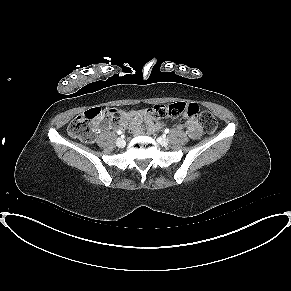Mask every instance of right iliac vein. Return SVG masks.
Listing matches in <instances>:
<instances>
[{"instance_id":"right-iliac-vein-1","label":"right iliac vein","mask_w":291,"mask_h":291,"mask_svg":"<svg viewBox=\"0 0 291 291\" xmlns=\"http://www.w3.org/2000/svg\"><path fill=\"white\" fill-rule=\"evenodd\" d=\"M125 145H126V142L123 138H118L116 140V146H118L119 148H123L125 147Z\"/></svg>"}]
</instances>
